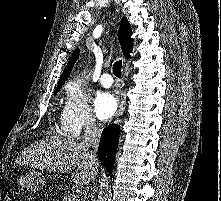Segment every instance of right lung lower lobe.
<instances>
[{
    "instance_id": "right-lung-lower-lobe-1",
    "label": "right lung lower lobe",
    "mask_w": 221,
    "mask_h": 201,
    "mask_svg": "<svg viewBox=\"0 0 221 201\" xmlns=\"http://www.w3.org/2000/svg\"><path fill=\"white\" fill-rule=\"evenodd\" d=\"M120 127L109 125L101 134L98 155L103 166L111 173L119 141Z\"/></svg>"
}]
</instances>
